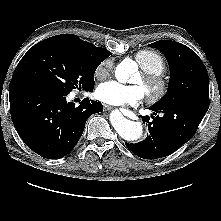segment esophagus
<instances>
[{
	"label": "esophagus",
	"mask_w": 221,
	"mask_h": 221,
	"mask_svg": "<svg viewBox=\"0 0 221 221\" xmlns=\"http://www.w3.org/2000/svg\"><path fill=\"white\" fill-rule=\"evenodd\" d=\"M104 108H105L106 111L112 109V107L109 106V105H105Z\"/></svg>",
	"instance_id": "34e87169"
}]
</instances>
